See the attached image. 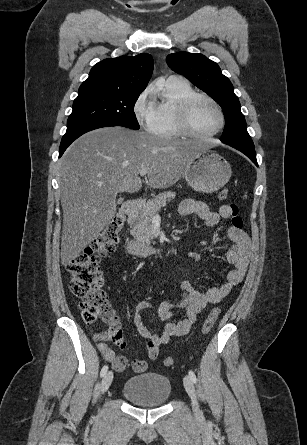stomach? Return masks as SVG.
<instances>
[{"label": "stomach", "instance_id": "1", "mask_svg": "<svg viewBox=\"0 0 307 445\" xmlns=\"http://www.w3.org/2000/svg\"><path fill=\"white\" fill-rule=\"evenodd\" d=\"M231 166L215 150H199L184 170L185 180L198 192H216L227 184Z\"/></svg>", "mask_w": 307, "mask_h": 445}]
</instances>
